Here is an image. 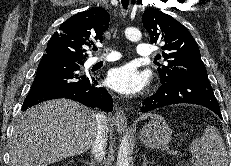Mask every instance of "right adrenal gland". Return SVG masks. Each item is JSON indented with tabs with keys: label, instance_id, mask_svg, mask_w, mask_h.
<instances>
[{
	"label": "right adrenal gland",
	"instance_id": "1",
	"mask_svg": "<svg viewBox=\"0 0 231 166\" xmlns=\"http://www.w3.org/2000/svg\"><path fill=\"white\" fill-rule=\"evenodd\" d=\"M86 164H87L88 166H95V165H96V163H95V161H93V159H91L90 162L87 161Z\"/></svg>",
	"mask_w": 231,
	"mask_h": 166
}]
</instances>
